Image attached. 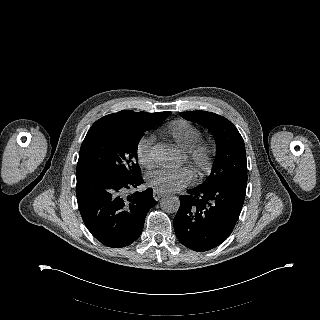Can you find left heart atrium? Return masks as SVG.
I'll use <instances>...</instances> for the list:
<instances>
[{
	"label": "left heart atrium",
	"instance_id": "1",
	"mask_svg": "<svg viewBox=\"0 0 320 320\" xmlns=\"http://www.w3.org/2000/svg\"><path fill=\"white\" fill-rule=\"evenodd\" d=\"M151 182L159 189L172 191L180 188L190 180L185 169L161 168L150 175Z\"/></svg>",
	"mask_w": 320,
	"mask_h": 320
}]
</instances>
